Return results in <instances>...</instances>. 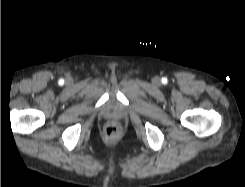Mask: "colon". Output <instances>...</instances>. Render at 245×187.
Returning a JSON list of instances; mask_svg holds the SVG:
<instances>
[{"label":"colon","instance_id":"colon-1","mask_svg":"<svg viewBox=\"0 0 245 187\" xmlns=\"http://www.w3.org/2000/svg\"><path fill=\"white\" fill-rule=\"evenodd\" d=\"M120 128L117 124L111 123L106 127V134L109 137L115 136L119 132Z\"/></svg>","mask_w":245,"mask_h":187}]
</instances>
